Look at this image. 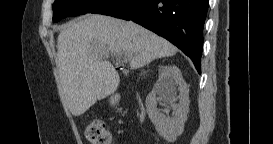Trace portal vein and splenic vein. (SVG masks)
Returning a JSON list of instances; mask_svg holds the SVG:
<instances>
[{
  "mask_svg": "<svg viewBox=\"0 0 273 144\" xmlns=\"http://www.w3.org/2000/svg\"><path fill=\"white\" fill-rule=\"evenodd\" d=\"M121 54L124 56L125 60H129L130 59V55L128 53L123 52Z\"/></svg>",
  "mask_w": 273,
  "mask_h": 144,
  "instance_id": "obj_1",
  "label": "portal vein and splenic vein"
}]
</instances>
